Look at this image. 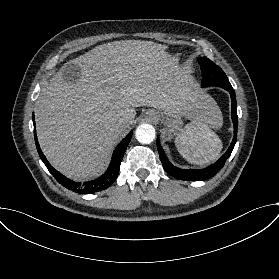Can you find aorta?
I'll return each mask as SVG.
<instances>
[{
    "label": "aorta",
    "mask_w": 279,
    "mask_h": 279,
    "mask_svg": "<svg viewBox=\"0 0 279 279\" xmlns=\"http://www.w3.org/2000/svg\"><path fill=\"white\" fill-rule=\"evenodd\" d=\"M135 136L140 143L149 144L155 139L156 132L152 125L141 124L137 127Z\"/></svg>",
    "instance_id": "762f6f07"
}]
</instances>
